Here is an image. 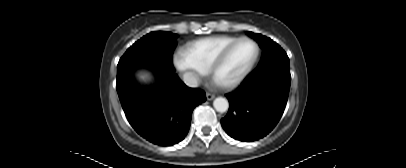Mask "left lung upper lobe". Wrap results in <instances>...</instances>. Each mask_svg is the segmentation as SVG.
<instances>
[{"mask_svg":"<svg viewBox=\"0 0 406 168\" xmlns=\"http://www.w3.org/2000/svg\"><path fill=\"white\" fill-rule=\"evenodd\" d=\"M262 48L263 53L258 69L272 67L281 71L289 72V58L286 52L273 40L261 34L247 33Z\"/></svg>","mask_w":406,"mask_h":168,"instance_id":"1","label":"left lung upper lobe"}]
</instances>
